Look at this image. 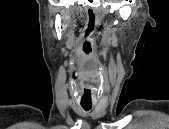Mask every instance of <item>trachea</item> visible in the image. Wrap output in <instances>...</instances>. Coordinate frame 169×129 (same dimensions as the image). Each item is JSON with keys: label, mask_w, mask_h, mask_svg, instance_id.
<instances>
[{"label": "trachea", "mask_w": 169, "mask_h": 129, "mask_svg": "<svg viewBox=\"0 0 169 129\" xmlns=\"http://www.w3.org/2000/svg\"><path fill=\"white\" fill-rule=\"evenodd\" d=\"M82 108L85 110V111H89L92 106H85V105H82Z\"/></svg>", "instance_id": "trachea-1"}]
</instances>
